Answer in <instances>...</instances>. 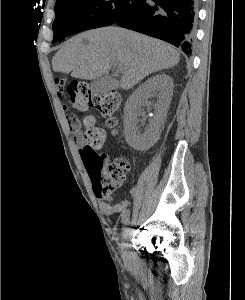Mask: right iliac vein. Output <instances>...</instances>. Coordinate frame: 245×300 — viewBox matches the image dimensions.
Masks as SVG:
<instances>
[{"label":"right iliac vein","mask_w":245,"mask_h":300,"mask_svg":"<svg viewBox=\"0 0 245 300\" xmlns=\"http://www.w3.org/2000/svg\"><path fill=\"white\" fill-rule=\"evenodd\" d=\"M126 225H130V220H127ZM130 237V229L125 228L122 232V243H121V250L122 255L124 258H128L129 252H128V239Z\"/></svg>","instance_id":"1"}]
</instances>
